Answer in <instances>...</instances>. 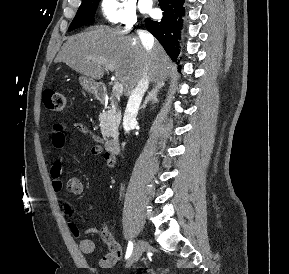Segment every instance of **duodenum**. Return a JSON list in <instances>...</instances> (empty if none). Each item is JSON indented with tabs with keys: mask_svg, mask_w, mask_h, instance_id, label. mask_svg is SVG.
<instances>
[{
	"mask_svg": "<svg viewBox=\"0 0 289 274\" xmlns=\"http://www.w3.org/2000/svg\"><path fill=\"white\" fill-rule=\"evenodd\" d=\"M95 94L101 101H107L109 99V93L107 87L103 84H99L95 88ZM106 149L111 154H118L120 151L119 140L115 137L108 139L105 143Z\"/></svg>",
	"mask_w": 289,
	"mask_h": 274,
	"instance_id": "410a0bca",
	"label": "duodenum"
}]
</instances>
